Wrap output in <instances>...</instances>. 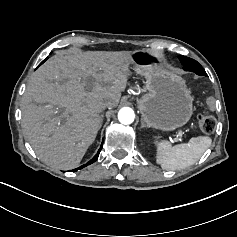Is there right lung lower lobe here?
I'll return each instance as SVG.
<instances>
[{"mask_svg":"<svg viewBox=\"0 0 237 237\" xmlns=\"http://www.w3.org/2000/svg\"><path fill=\"white\" fill-rule=\"evenodd\" d=\"M46 60H47V59H46ZM46 60H45V61H46ZM101 149H102V145H101V147H100L98 153L93 157V159H92L91 161H89L87 164L82 165V166H80L79 168H76V169H74V170H72V171H77L78 169H82V168H84L85 166H87V165L92 164L93 162H95V161L97 160L98 156H99V153H100Z\"/></svg>","mask_w":237,"mask_h":237,"instance_id":"right-lung-lower-lobe-1","label":"right lung lower lobe"}]
</instances>
